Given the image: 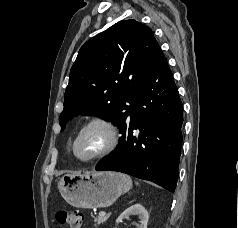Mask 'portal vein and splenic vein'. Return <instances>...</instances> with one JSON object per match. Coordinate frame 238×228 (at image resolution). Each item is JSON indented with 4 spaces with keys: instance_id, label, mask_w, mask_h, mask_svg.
<instances>
[{
    "instance_id": "18ae733b",
    "label": "portal vein and splenic vein",
    "mask_w": 238,
    "mask_h": 228,
    "mask_svg": "<svg viewBox=\"0 0 238 228\" xmlns=\"http://www.w3.org/2000/svg\"><path fill=\"white\" fill-rule=\"evenodd\" d=\"M99 215H100V216H104V215H106V212L101 211V212H99Z\"/></svg>"
}]
</instances>
